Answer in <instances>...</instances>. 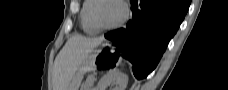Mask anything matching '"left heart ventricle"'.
<instances>
[{
    "label": "left heart ventricle",
    "instance_id": "b2bd125f",
    "mask_svg": "<svg viewBox=\"0 0 228 90\" xmlns=\"http://www.w3.org/2000/svg\"><path fill=\"white\" fill-rule=\"evenodd\" d=\"M122 16V8L119 3L106 0L97 5L95 17L101 26H110L118 22Z\"/></svg>",
    "mask_w": 228,
    "mask_h": 90
}]
</instances>
